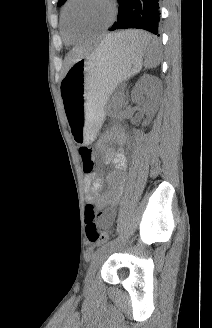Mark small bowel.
I'll return each mask as SVG.
<instances>
[{"label":"small bowel","mask_w":212,"mask_h":328,"mask_svg":"<svg viewBox=\"0 0 212 328\" xmlns=\"http://www.w3.org/2000/svg\"><path fill=\"white\" fill-rule=\"evenodd\" d=\"M116 137V133H111L107 136V140ZM104 162L112 164L115 171L108 176V182L111 186V191L104 196H98L103 187V182L97 179L92 172L85 173V182L89 190L88 200L94 202L99 208L105 209L100 218V224L103 228L110 230L114 224L116 216V206L118 205L122 189L125 182V169L127 166V156L123 150L114 151L111 148H102Z\"/></svg>","instance_id":"c3829d8e"}]
</instances>
